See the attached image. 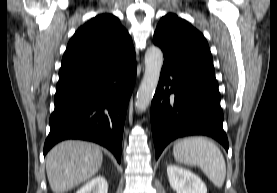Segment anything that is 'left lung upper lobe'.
Instances as JSON below:
<instances>
[{
    "mask_svg": "<svg viewBox=\"0 0 277 193\" xmlns=\"http://www.w3.org/2000/svg\"><path fill=\"white\" fill-rule=\"evenodd\" d=\"M153 42L162 49L166 62L214 71L212 55L204 36L175 14H167L160 19Z\"/></svg>",
    "mask_w": 277,
    "mask_h": 193,
    "instance_id": "left-lung-upper-lobe-1",
    "label": "left lung upper lobe"
}]
</instances>
